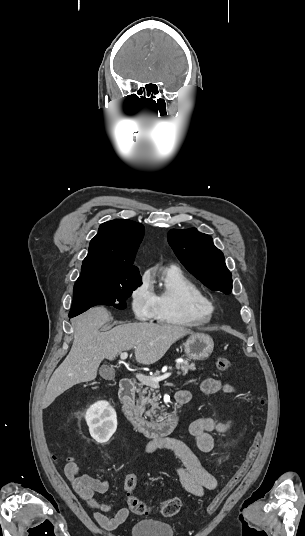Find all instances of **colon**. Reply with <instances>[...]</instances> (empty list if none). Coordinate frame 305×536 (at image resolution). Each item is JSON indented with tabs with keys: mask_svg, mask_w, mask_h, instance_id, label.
Returning a JSON list of instances; mask_svg holds the SVG:
<instances>
[{
	"mask_svg": "<svg viewBox=\"0 0 305 536\" xmlns=\"http://www.w3.org/2000/svg\"><path fill=\"white\" fill-rule=\"evenodd\" d=\"M215 365L218 370L227 371L231 366V361L229 358L221 357L216 360ZM260 403L261 405H263L264 400L261 399ZM260 442L261 435L260 433H257L238 469L235 471L229 481L213 497L211 503L208 506L209 514L214 513L218 509L227 494L246 476L253 464ZM125 480L127 492L126 499L130 509L137 514H149L152 511L150 505H148L146 502L141 501L136 495L135 475L129 473L126 475ZM180 507V500L177 497H172L161 502L158 506V511L163 517L167 518L172 517L176 513H178Z\"/></svg>",
	"mask_w": 305,
	"mask_h": 536,
	"instance_id": "obj_1",
	"label": "colon"
}]
</instances>
